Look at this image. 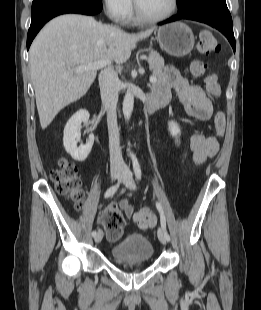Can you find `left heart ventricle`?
Segmentation results:
<instances>
[{
	"label": "left heart ventricle",
	"mask_w": 261,
	"mask_h": 310,
	"mask_svg": "<svg viewBox=\"0 0 261 310\" xmlns=\"http://www.w3.org/2000/svg\"><path fill=\"white\" fill-rule=\"evenodd\" d=\"M135 2L141 12L149 17L163 15L171 6V0H135Z\"/></svg>",
	"instance_id": "left-heart-ventricle-1"
}]
</instances>
